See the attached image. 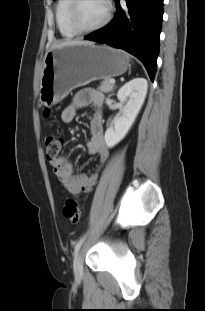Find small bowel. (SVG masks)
I'll return each instance as SVG.
<instances>
[{
	"label": "small bowel",
	"mask_w": 205,
	"mask_h": 311,
	"mask_svg": "<svg viewBox=\"0 0 205 311\" xmlns=\"http://www.w3.org/2000/svg\"><path fill=\"white\" fill-rule=\"evenodd\" d=\"M103 100L101 92L94 89H84L77 92L61 112L62 122L71 123L74 121L78 110L89 105L95 109V113L89 121L90 139L87 142V150L89 154L98 157L100 166L105 164L109 158V151L104 140ZM50 164L58 182L72 195L89 192L97 181L98 174L96 172L73 174V164L65 156L57 157L50 161Z\"/></svg>",
	"instance_id": "1"
}]
</instances>
